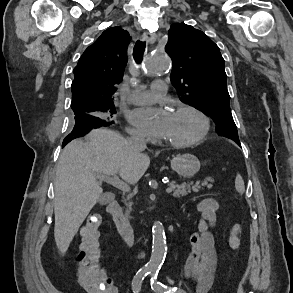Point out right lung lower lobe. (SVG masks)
Masks as SVG:
<instances>
[{
  "mask_svg": "<svg viewBox=\"0 0 293 293\" xmlns=\"http://www.w3.org/2000/svg\"><path fill=\"white\" fill-rule=\"evenodd\" d=\"M113 123L111 120H105L97 116L89 114H79L75 116V125L71 133L65 137L62 148L65 147L71 140L81 137L88 133L93 128L101 126H109Z\"/></svg>",
  "mask_w": 293,
  "mask_h": 293,
  "instance_id": "1",
  "label": "right lung lower lobe"
}]
</instances>
